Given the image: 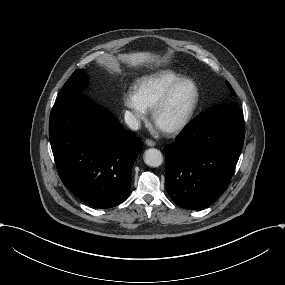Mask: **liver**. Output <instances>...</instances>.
<instances>
[{"mask_svg": "<svg viewBox=\"0 0 285 285\" xmlns=\"http://www.w3.org/2000/svg\"><path fill=\"white\" fill-rule=\"evenodd\" d=\"M117 60L128 63L131 66H137L140 64L148 63L154 60V55L150 52H137L130 54H118L117 57L110 55H104L98 58V63L107 67L108 69L118 70Z\"/></svg>", "mask_w": 285, "mask_h": 285, "instance_id": "6515ba94", "label": "liver"}]
</instances>
